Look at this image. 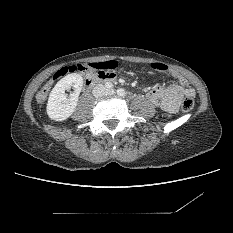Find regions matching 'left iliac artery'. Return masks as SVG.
Returning <instances> with one entry per match:
<instances>
[{
  "instance_id": "obj_1",
  "label": "left iliac artery",
  "mask_w": 233,
  "mask_h": 233,
  "mask_svg": "<svg viewBox=\"0 0 233 233\" xmlns=\"http://www.w3.org/2000/svg\"><path fill=\"white\" fill-rule=\"evenodd\" d=\"M117 94L121 97H124L126 95V92L124 89L120 88L117 90Z\"/></svg>"
}]
</instances>
